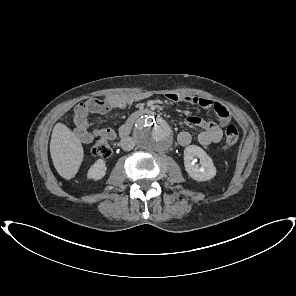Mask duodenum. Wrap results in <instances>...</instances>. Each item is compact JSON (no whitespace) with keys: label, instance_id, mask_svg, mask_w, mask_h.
I'll return each instance as SVG.
<instances>
[{"label":"duodenum","instance_id":"410a0bca","mask_svg":"<svg viewBox=\"0 0 296 296\" xmlns=\"http://www.w3.org/2000/svg\"><path fill=\"white\" fill-rule=\"evenodd\" d=\"M156 112L149 109V108H143V109H139L136 112H134L129 119L125 122V124H123L119 130V136L121 139H126L130 132L131 129L133 128L134 124L136 123V121L143 116H147V115H155Z\"/></svg>","mask_w":296,"mask_h":296}]
</instances>
